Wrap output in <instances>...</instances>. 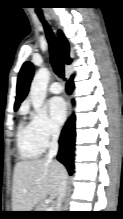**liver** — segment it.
I'll return each instance as SVG.
<instances>
[{"mask_svg":"<svg viewBox=\"0 0 123 219\" xmlns=\"http://www.w3.org/2000/svg\"><path fill=\"white\" fill-rule=\"evenodd\" d=\"M67 171L56 160L46 157L16 163L13 174V211H32L47 196H58L62 180Z\"/></svg>","mask_w":123,"mask_h":219,"instance_id":"liver-1","label":"liver"}]
</instances>
